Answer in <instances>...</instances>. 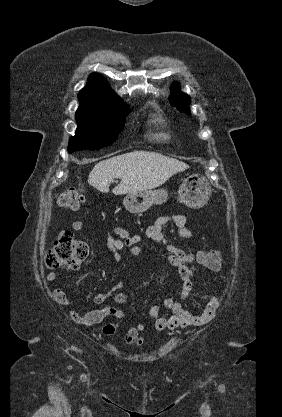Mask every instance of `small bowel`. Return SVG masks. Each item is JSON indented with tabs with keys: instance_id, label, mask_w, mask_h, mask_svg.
I'll return each instance as SVG.
<instances>
[{
	"instance_id": "obj_1",
	"label": "small bowel",
	"mask_w": 282,
	"mask_h": 417,
	"mask_svg": "<svg viewBox=\"0 0 282 417\" xmlns=\"http://www.w3.org/2000/svg\"><path fill=\"white\" fill-rule=\"evenodd\" d=\"M168 225L174 226L179 235L185 239H191L193 234L187 227V217L184 214L172 213L161 215L148 226L142 234H131L126 229L120 226H114L110 230L102 228L103 231L109 233L107 238V246L111 251L114 260L121 261L123 259L122 251L129 249L132 254L136 255L140 252L139 243L143 238L152 241L157 247L164 249L167 252V261L170 265L177 269V275L181 281V289L177 293V298L185 300L191 294L195 284V266L190 264L188 255L178 246L172 244L164 233V228ZM86 226L82 220H77L72 223V229L76 232L81 231ZM200 252L199 254H201ZM198 262L200 259L198 258ZM57 272H49L46 276L48 282H55L58 279ZM123 284L119 283L115 288L121 287ZM111 289L104 290L97 293L93 302L98 308L80 315L74 309H70L71 319L86 326H95L101 323L107 317H114L116 319H123L125 311L122 308L111 304H106L105 301L111 294ZM53 299L64 306L71 307L73 302L67 297L66 293L61 288H54L52 290ZM126 297L119 293L115 296L117 303H123ZM219 307V300L213 296L208 303L205 310L199 314L194 315L184 309L182 305L174 298H166L161 305H153L149 310V316L153 321L154 328L159 331H173L187 326H201L210 322ZM163 308L169 310L172 315L163 313ZM119 324L111 322L101 328V333L105 336H113L119 329ZM145 327L143 324H136L128 326L124 336L126 345H142L144 343L143 331Z\"/></svg>"
}]
</instances>
